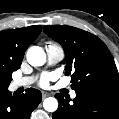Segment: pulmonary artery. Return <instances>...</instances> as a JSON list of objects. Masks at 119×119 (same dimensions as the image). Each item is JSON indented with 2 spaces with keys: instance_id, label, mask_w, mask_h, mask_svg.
I'll use <instances>...</instances> for the list:
<instances>
[{
  "instance_id": "obj_1",
  "label": "pulmonary artery",
  "mask_w": 119,
  "mask_h": 119,
  "mask_svg": "<svg viewBox=\"0 0 119 119\" xmlns=\"http://www.w3.org/2000/svg\"><path fill=\"white\" fill-rule=\"evenodd\" d=\"M45 50L47 53V60L49 64H56L60 62L64 58V50L61 46L48 43L45 46ZM35 78L32 76H27L23 78H18L12 81L11 90H16L20 87H27L34 82ZM71 98L76 97V92L72 91L70 93Z\"/></svg>"
}]
</instances>
